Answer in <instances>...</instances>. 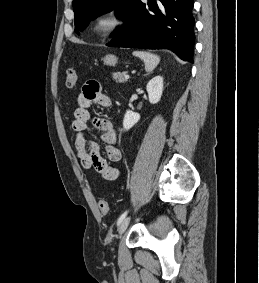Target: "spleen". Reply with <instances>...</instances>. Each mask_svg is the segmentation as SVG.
<instances>
[{"mask_svg":"<svg viewBox=\"0 0 259 283\" xmlns=\"http://www.w3.org/2000/svg\"><path fill=\"white\" fill-rule=\"evenodd\" d=\"M133 55L143 60L147 72H152L160 62V58L157 55L149 52L134 51Z\"/></svg>","mask_w":259,"mask_h":283,"instance_id":"1","label":"spleen"}]
</instances>
